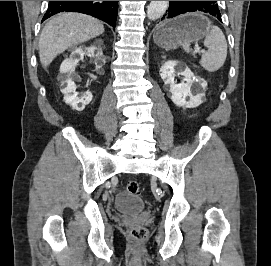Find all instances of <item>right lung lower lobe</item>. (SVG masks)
Segmentation results:
<instances>
[{
	"instance_id": "obj_1",
	"label": "right lung lower lobe",
	"mask_w": 271,
	"mask_h": 266,
	"mask_svg": "<svg viewBox=\"0 0 271 266\" xmlns=\"http://www.w3.org/2000/svg\"><path fill=\"white\" fill-rule=\"evenodd\" d=\"M62 11L88 14L115 28L118 1H49L48 10L42 21Z\"/></svg>"
}]
</instances>
